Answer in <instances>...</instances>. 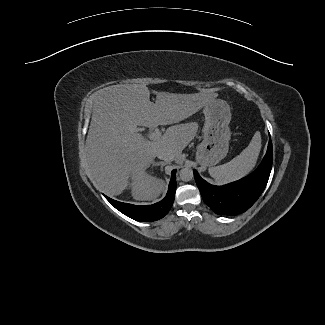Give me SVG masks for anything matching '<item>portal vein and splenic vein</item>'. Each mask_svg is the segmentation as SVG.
<instances>
[{
    "mask_svg": "<svg viewBox=\"0 0 325 325\" xmlns=\"http://www.w3.org/2000/svg\"><path fill=\"white\" fill-rule=\"evenodd\" d=\"M161 135H162V132H160V131H154V132H152V133L149 134V138L151 140H157V139H159L161 137Z\"/></svg>",
    "mask_w": 325,
    "mask_h": 325,
    "instance_id": "obj_1",
    "label": "portal vein and splenic vein"
}]
</instances>
